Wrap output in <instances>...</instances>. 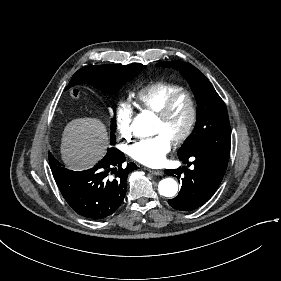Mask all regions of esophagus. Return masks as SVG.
Masks as SVG:
<instances>
[{"label": "esophagus", "mask_w": 281, "mask_h": 281, "mask_svg": "<svg viewBox=\"0 0 281 281\" xmlns=\"http://www.w3.org/2000/svg\"><path fill=\"white\" fill-rule=\"evenodd\" d=\"M148 171L153 175H163V170H154V169H148Z\"/></svg>", "instance_id": "esophagus-1"}]
</instances>
